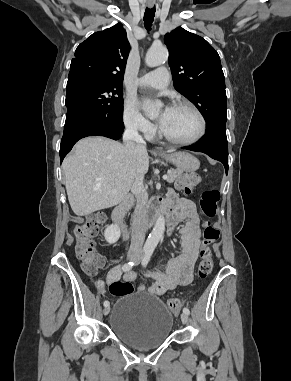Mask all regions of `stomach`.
Segmentation results:
<instances>
[{
  "instance_id": "0dacf381",
  "label": "stomach",
  "mask_w": 291,
  "mask_h": 381,
  "mask_svg": "<svg viewBox=\"0 0 291 381\" xmlns=\"http://www.w3.org/2000/svg\"><path fill=\"white\" fill-rule=\"evenodd\" d=\"M161 156L181 171L192 173L200 166L199 160L188 152H175L172 154H162Z\"/></svg>"
}]
</instances>
